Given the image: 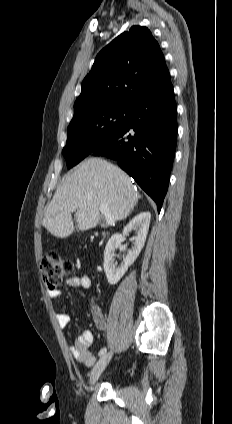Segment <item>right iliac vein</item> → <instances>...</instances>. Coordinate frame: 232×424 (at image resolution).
Listing matches in <instances>:
<instances>
[{
  "mask_svg": "<svg viewBox=\"0 0 232 424\" xmlns=\"http://www.w3.org/2000/svg\"><path fill=\"white\" fill-rule=\"evenodd\" d=\"M111 357H112V353H106L95 364V366L93 367V369L91 371V375H90V384L91 385H94L97 382L100 375L102 374V372L104 371V369L106 368L108 363L110 362Z\"/></svg>",
  "mask_w": 232,
  "mask_h": 424,
  "instance_id": "right-iliac-vein-1",
  "label": "right iliac vein"
}]
</instances>
